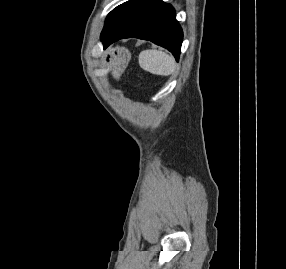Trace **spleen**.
<instances>
[{"mask_svg":"<svg viewBox=\"0 0 286 269\" xmlns=\"http://www.w3.org/2000/svg\"><path fill=\"white\" fill-rule=\"evenodd\" d=\"M139 65L145 71L156 75H170L175 71L172 56L159 50H145L139 55Z\"/></svg>","mask_w":286,"mask_h":269,"instance_id":"3e777b00","label":"spleen"}]
</instances>
